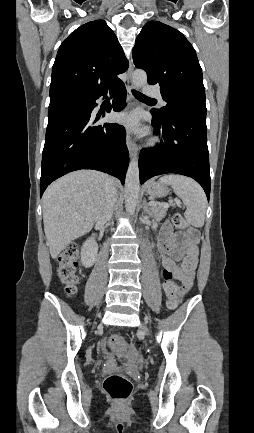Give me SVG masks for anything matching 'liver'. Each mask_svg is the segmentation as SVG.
Here are the masks:
<instances>
[{"label": "liver", "mask_w": 254, "mask_h": 433, "mask_svg": "<svg viewBox=\"0 0 254 433\" xmlns=\"http://www.w3.org/2000/svg\"><path fill=\"white\" fill-rule=\"evenodd\" d=\"M107 183L108 176L104 173L80 170L47 188L43 195V222L53 259L72 240L89 232L101 217Z\"/></svg>", "instance_id": "liver-1"}]
</instances>
